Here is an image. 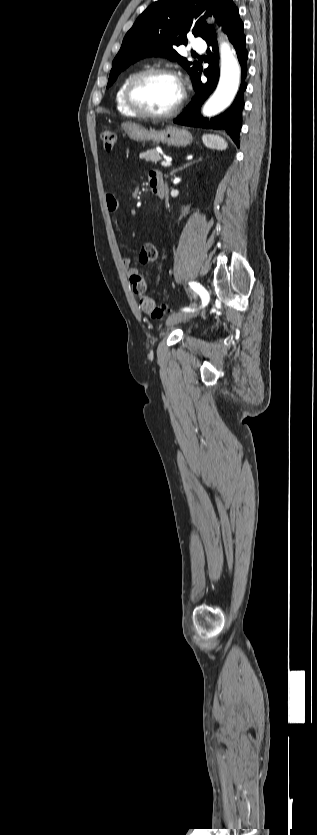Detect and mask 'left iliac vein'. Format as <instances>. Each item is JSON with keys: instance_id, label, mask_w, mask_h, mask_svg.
<instances>
[{"instance_id": "left-iliac-vein-1", "label": "left iliac vein", "mask_w": 317, "mask_h": 835, "mask_svg": "<svg viewBox=\"0 0 317 835\" xmlns=\"http://www.w3.org/2000/svg\"><path fill=\"white\" fill-rule=\"evenodd\" d=\"M200 309H201V306H199V307L196 306L195 310H192V311L173 313L167 318L166 325L168 327H171V326L176 325L180 322L190 320V319H192L193 317H195L199 314Z\"/></svg>"}]
</instances>
